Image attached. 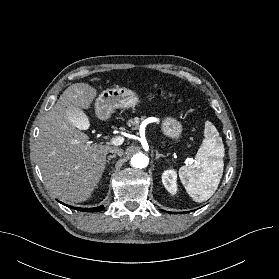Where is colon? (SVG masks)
<instances>
[{
    "label": "colon",
    "mask_w": 279,
    "mask_h": 279,
    "mask_svg": "<svg viewBox=\"0 0 279 279\" xmlns=\"http://www.w3.org/2000/svg\"><path fill=\"white\" fill-rule=\"evenodd\" d=\"M157 93H158V95H161V96L165 95V93L162 90H158ZM169 97L172 98L176 102H180V99L177 96H173V95L169 94Z\"/></svg>",
    "instance_id": "colon-1"
}]
</instances>
